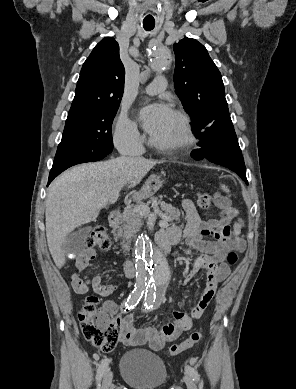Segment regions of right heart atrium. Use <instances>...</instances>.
I'll return each instance as SVG.
<instances>
[{
  "mask_svg": "<svg viewBox=\"0 0 296 389\" xmlns=\"http://www.w3.org/2000/svg\"><path fill=\"white\" fill-rule=\"evenodd\" d=\"M113 138L116 147L123 152L141 145L142 138L137 125L125 111H121L116 118Z\"/></svg>",
  "mask_w": 296,
  "mask_h": 389,
  "instance_id": "obj_1",
  "label": "right heart atrium"
}]
</instances>
